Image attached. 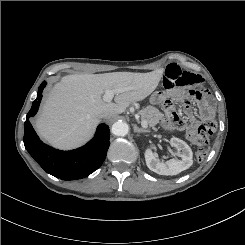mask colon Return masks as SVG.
I'll list each match as a JSON object with an SVG mask.
<instances>
[{"instance_id": "5ec220e1", "label": "colon", "mask_w": 245, "mask_h": 245, "mask_svg": "<svg viewBox=\"0 0 245 245\" xmlns=\"http://www.w3.org/2000/svg\"><path fill=\"white\" fill-rule=\"evenodd\" d=\"M164 108L169 115L170 126L175 130L184 129L185 121L176 113L174 103L171 100H167L164 103ZM216 128V122L208 118L196 130L188 134L189 140L199 147L196 154L198 161H203L206 158L208 153L206 145Z\"/></svg>"}]
</instances>
